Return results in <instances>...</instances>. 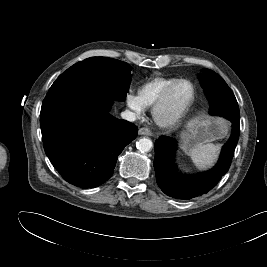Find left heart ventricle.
<instances>
[{"label":"left heart ventricle","mask_w":267,"mask_h":267,"mask_svg":"<svg viewBox=\"0 0 267 267\" xmlns=\"http://www.w3.org/2000/svg\"><path fill=\"white\" fill-rule=\"evenodd\" d=\"M190 97L191 87L186 83L178 85L166 105L161 109V116L163 118L175 117L184 108Z\"/></svg>","instance_id":"left-heart-ventricle-1"}]
</instances>
